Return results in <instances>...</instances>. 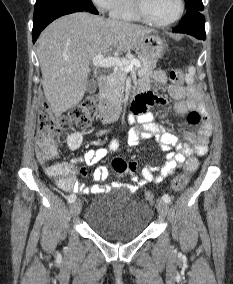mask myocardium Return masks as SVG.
Segmentation results:
<instances>
[{
	"mask_svg": "<svg viewBox=\"0 0 233 284\" xmlns=\"http://www.w3.org/2000/svg\"><path fill=\"white\" fill-rule=\"evenodd\" d=\"M178 3H179V10H178L177 15L169 21L161 22V21L154 19L149 14V12L147 11L146 5H145V0H133L135 11L140 16V18L148 23H151L159 27L170 26L182 18L184 11H185V3H184V0H178Z\"/></svg>",
	"mask_w": 233,
	"mask_h": 284,
	"instance_id": "f54148a6",
	"label": "myocardium"
}]
</instances>
